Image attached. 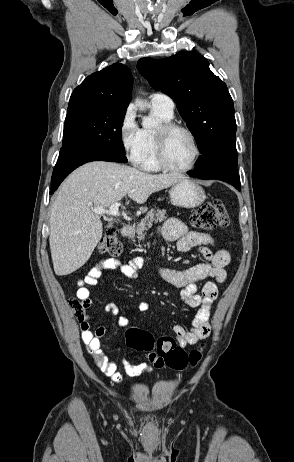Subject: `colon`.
<instances>
[{"mask_svg":"<svg viewBox=\"0 0 294 462\" xmlns=\"http://www.w3.org/2000/svg\"><path fill=\"white\" fill-rule=\"evenodd\" d=\"M192 226L201 230H212L216 227H226L229 224V216L224 204L218 200H212L201 205L192 215ZM101 254L117 256L122 251V245L118 240V230L110 227L98 245ZM75 317L83 320L85 307L76 298L69 299ZM127 345L137 351L147 352L149 360L157 368L169 367L174 370H184L188 366H196L202 358V346L185 352L179 347L172 337L163 336L155 340L152 334L138 328H130L126 332Z\"/></svg>","mask_w":294,"mask_h":462,"instance_id":"obj_1","label":"colon"}]
</instances>
